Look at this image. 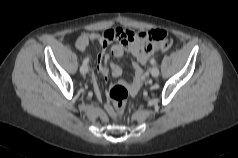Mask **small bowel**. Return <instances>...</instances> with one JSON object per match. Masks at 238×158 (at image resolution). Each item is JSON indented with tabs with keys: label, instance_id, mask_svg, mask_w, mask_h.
<instances>
[{
	"label": "small bowel",
	"instance_id": "1",
	"mask_svg": "<svg viewBox=\"0 0 238 158\" xmlns=\"http://www.w3.org/2000/svg\"><path fill=\"white\" fill-rule=\"evenodd\" d=\"M155 34L166 35L162 30L150 31H131L129 29L115 28L109 29L102 34L99 33H84L75 42L78 50L84 51L90 44L97 42L101 51L97 57L98 72L107 78L111 73L114 76H119L122 72L121 68L116 64L108 66L109 54L108 47L113 41L117 43L111 48V54L114 57H122L125 52H129L135 59L133 62L134 78L130 85L132 92H135L143 79V71L140 65L147 63L150 57L158 51L157 40L153 37ZM92 83L96 95L101 98L102 90L95 76L92 77ZM108 110V105H107Z\"/></svg>",
	"mask_w": 238,
	"mask_h": 158
}]
</instances>
